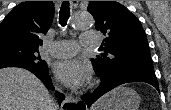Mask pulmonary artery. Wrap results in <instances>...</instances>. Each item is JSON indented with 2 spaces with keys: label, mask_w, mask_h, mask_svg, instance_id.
<instances>
[{
  "label": "pulmonary artery",
  "mask_w": 171,
  "mask_h": 110,
  "mask_svg": "<svg viewBox=\"0 0 171 110\" xmlns=\"http://www.w3.org/2000/svg\"><path fill=\"white\" fill-rule=\"evenodd\" d=\"M97 33L86 32L80 37L81 45L84 47H94L98 45ZM78 51V44L72 40L55 41L48 45V52L59 58H67L74 56Z\"/></svg>",
  "instance_id": "e3ab8cb5"
}]
</instances>
